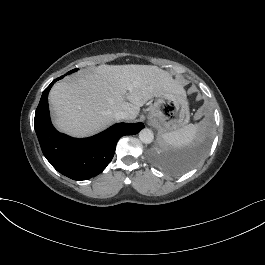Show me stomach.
Instances as JSON below:
<instances>
[{
    "label": "stomach",
    "instance_id": "0dacf381",
    "mask_svg": "<svg viewBox=\"0 0 265 265\" xmlns=\"http://www.w3.org/2000/svg\"><path fill=\"white\" fill-rule=\"evenodd\" d=\"M188 101L180 94L156 97L149 112V122L162 133L175 131L189 122Z\"/></svg>",
    "mask_w": 265,
    "mask_h": 265
}]
</instances>
